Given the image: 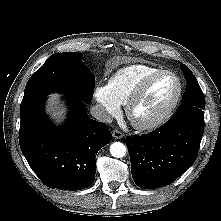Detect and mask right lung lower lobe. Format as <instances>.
<instances>
[{"mask_svg":"<svg viewBox=\"0 0 221 221\" xmlns=\"http://www.w3.org/2000/svg\"><path fill=\"white\" fill-rule=\"evenodd\" d=\"M70 114L61 128L51 125L41 98L20 112V148L41 181L50 188L81 190L95 178L97 152L111 141L109 128L90 119L85 101L66 96Z\"/></svg>","mask_w":221,"mask_h":221,"instance_id":"98d812e1","label":"right lung lower lobe"}]
</instances>
